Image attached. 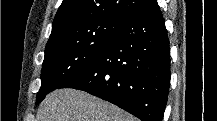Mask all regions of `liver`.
<instances>
[{
    "label": "liver",
    "instance_id": "liver-1",
    "mask_svg": "<svg viewBox=\"0 0 217 121\" xmlns=\"http://www.w3.org/2000/svg\"><path fill=\"white\" fill-rule=\"evenodd\" d=\"M36 121H137L119 107L86 92L59 89L40 104Z\"/></svg>",
    "mask_w": 217,
    "mask_h": 121
}]
</instances>
